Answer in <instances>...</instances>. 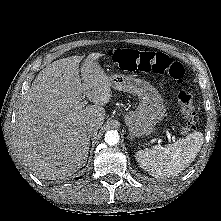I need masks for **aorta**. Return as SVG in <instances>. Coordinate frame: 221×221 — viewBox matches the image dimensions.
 <instances>
[{"label":"aorta","mask_w":221,"mask_h":221,"mask_svg":"<svg viewBox=\"0 0 221 221\" xmlns=\"http://www.w3.org/2000/svg\"><path fill=\"white\" fill-rule=\"evenodd\" d=\"M119 139L118 132L114 130L107 131L104 138L105 142L110 146L117 144Z\"/></svg>","instance_id":"aorta-1"}]
</instances>
